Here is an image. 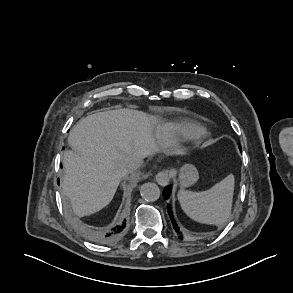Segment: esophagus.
I'll list each match as a JSON object with an SVG mask.
<instances>
[{"label": "esophagus", "instance_id": "esophagus-1", "mask_svg": "<svg viewBox=\"0 0 293 293\" xmlns=\"http://www.w3.org/2000/svg\"><path fill=\"white\" fill-rule=\"evenodd\" d=\"M156 181L161 186H166L169 183V172L168 170H162L156 175Z\"/></svg>", "mask_w": 293, "mask_h": 293}]
</instances>
